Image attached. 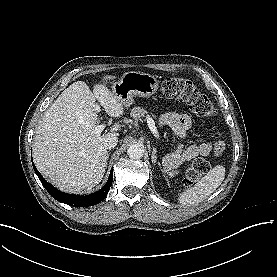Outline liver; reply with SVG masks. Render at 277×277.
Masks as SVG:
<instances>
[{"label": "liver", "mask_w": 277, "mask_h": 277, "mask_svg": "<svg viewBox=\"0 0 277 277\" xmlns=\"http://www.w3.org/2000/svg\"><path fill=\"white\" fill-rule=\"evenodd\" d=\"M114 78L103 77V83L95 84L93 91L84 81L71 84L44 112L35 131L34 163L62 191L90 192L104 176L108 155L104 142L117 136L121 125L96 134L95 102L111 117L123 115L122 103L106 87L107 80Z\"/></svg>", "instance_id": "liver-1"}]
</instances>
